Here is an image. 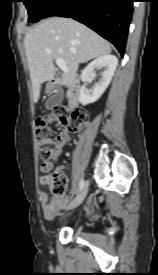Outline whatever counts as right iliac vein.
<instances>
[{
    "label": "right iliac vein",
    "instance_id": "1",
    "mask_svg": "<svg viewBox=\"0 0 158 275\" xmlns=\"http://www.w3.org/2000/svg\"><path fill=\"white\" fill-rule=\"evenodd\" d=\"M87 189H88V183H86L81 193L74 200H72V202L68 205V209H73L82 203V201L84 200L87 194Z\"/></svg>",
    "mask_w": 158,
    "mask_h": 275
}]
</instances>
